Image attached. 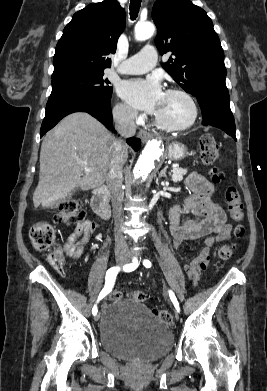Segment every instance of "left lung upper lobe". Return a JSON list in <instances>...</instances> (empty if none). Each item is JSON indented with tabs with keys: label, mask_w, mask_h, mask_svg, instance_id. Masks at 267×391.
Listing matches in <instances>:
<instances>
[{
	"label": "left lung upper lobe",
	"mask_w": 267,
	"mask_h": 391,
	"mask_svg": "<svg viewBox=\"0 0 267 391\" xmlns=\"http://www.w3.org/2000/svg\"><path fill=\"white\" fill-rule=\"evenodd\" d=\"M161 55L172 52L162 67L188 93H228L220 40L207 13L189 0H157L152 10Z\"/></svg>",
	"instance_id": "left-lung-upper-lobe-1"
}]
</instances>
